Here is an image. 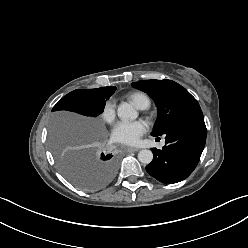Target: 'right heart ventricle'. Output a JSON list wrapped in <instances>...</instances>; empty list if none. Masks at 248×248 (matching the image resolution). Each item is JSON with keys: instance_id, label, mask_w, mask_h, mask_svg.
<instances>
[{"instance_id": "e07e8e85", "label": "right heart ventricle", "mask_w": 248, "mask_h": 248, "mask_svg": "<svg viewBox=\"0 0 248 248\" xmlns=\"http://www.w3.org/2000/svg\"><path fill=\"white\" fill-rule=\"evenodd\" d=\"M128 97L140 109H146L150 106V98L143 92H132Z\"/></svg>"}]
</instances>
